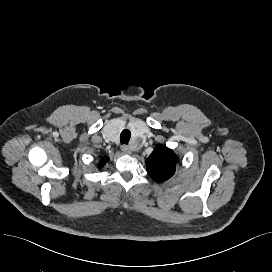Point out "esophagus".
Here are the masks:
<instances>
[{"instance_id": "1", "label": "esophagus", "mask_w": 272, "mask_h": 272, "mask_svg": "<svg viewBox=\"0 0 272 272\" xmlns=\"http://www.w3.org/2000/svg\"><path fill=\"white\" fill-rule=\"evenodd\" d=\"M121 150H122V152H123L124 154H130V153H131V149H130V147H129L128 145H123V146L121 147Z\"/></svg>"}]
</instances>
